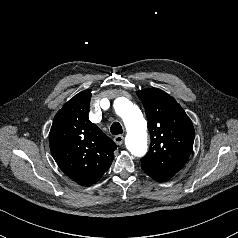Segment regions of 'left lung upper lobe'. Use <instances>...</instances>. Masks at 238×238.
Here are the masks:
<instances>
[{
  "label": "left lung upper lobe",
  "instance_id": "obj_1",
  "mask_svg": "<svg viewBox=\"0 0 238 238\" xmlns=\"http://www.w3.org/2000/svg\"><path fill=\"white\" fill-rule=\"evenodd\" d=\"M144 105L151 135L149 152L141 167L156 175L173 177L186 164L194 142V127L183 108L163 90L137 91Z\"/></svg>",
  "mask_w": 238,
  "mask_h": 238
}]
</instances>
